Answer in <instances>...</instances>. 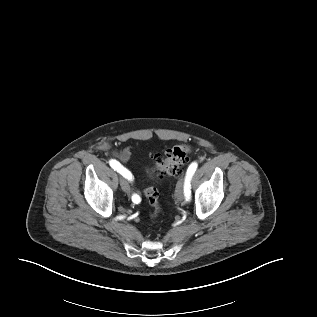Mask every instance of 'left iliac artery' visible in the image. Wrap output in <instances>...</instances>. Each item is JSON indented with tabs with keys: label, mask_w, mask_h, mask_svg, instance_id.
I'll list each match as a JSON object with an SVG mask.
<instances>
[{
	"label": "left iliac artery",
	"mask_w": 317,
	"mask_h": 317,
	"mask_svg": "<svg viewBox=\"0 0 317 317\" xmlns=\"http://www.w3.org/2000/svg\"><path fill=\"white\" fill-rule=\"evenodd\" d=\"M197 162H193L190 164V166L187 169V173H186V182H185V195L186 197L189 199L190 197V180L191 177L193 176V174L195 173L196 169H197Z\"/></svg>",
	"instance_id": "left-iliac-artery-1"
}]
</instances>
